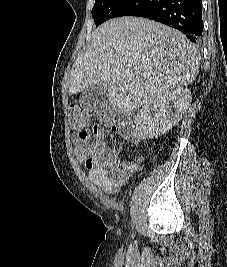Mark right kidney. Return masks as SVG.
Returning <instances> with one entry per match:
<instances>
[{
	"label": "right kidney",
	"instance_id": "ca27d5eb",
	"mask_svg": "<svg viewBox=\"0 0 227 267\" xmlns=\"http://www.w3.org/2000/svg\"><path fill=\"white\" fill-rule=\"evenodd\" d=\"M192 100L189 89L178 87L145 103L134 121V136L152 139L169 131L182 118Z\"/></svg>",
	"mask_w": 227,
	"mask_h": 267
}]
</instances>
